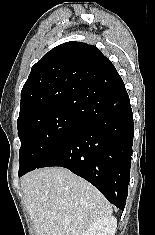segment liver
<instances>
[{"label":"liver","instance_id":"liver-1","mask_svg":"<svg viewBox=\"0 0 155 235\" xmlns=\"http://www.w3.org/2000/svg\"><path fill=\"white\" fill-rule=\"evenodd\" d=\"M21 187L36 235H81L112 214L93 185L65 168L35 170L22 178Z\"/></svg>","mask_w":155,"mask_h":235}]
</instances>
